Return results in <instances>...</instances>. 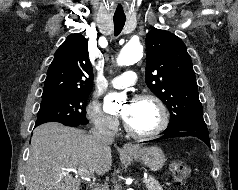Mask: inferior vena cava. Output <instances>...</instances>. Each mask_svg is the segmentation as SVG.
<instances>
[{
    "label": "inferior vena cava",
    "mask_w": 238,
    "mask_h": 190,
    "mask_svg": "<svg viewBox=\"0 0 238 190\" xmlns=\"http://www.w3.org/2000/svg\"><path fill=\"white\" fill-rule=\"evenodd\" d=\"M92 135L100 148L109 147L114 140V132L102 123L95 125V128L92 130ZM103 190L109 189L108 187H104Z\"/></svg>",
    "instance_id": "602c4592"
}]
</instances>
